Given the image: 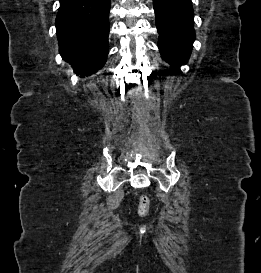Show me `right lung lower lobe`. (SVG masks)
Returning <instances> with one entry per match:
<instances>
[{"instance_id":"98d812e1","label":"right lung lower lobe","mask_w":261,"mask_h":273,"mask_svg":"<svg viewBox=\"0 0 261 273\" xmlns=\"http://www.w3.org/2000/svg\"><path fill=\"white\" fill-rule=\"evenodd\" d=\"M110 0H60L55 25L62 58L77 73L90 75L108 54Z\"/></svg>"}]
</instances>
